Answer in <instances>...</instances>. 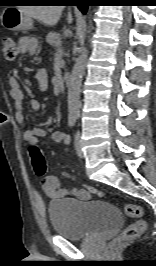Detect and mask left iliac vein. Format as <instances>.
Masks as SVG:
<instances>
[{"instance_id":"4c4485c4","label":"left iliac vein","mask_w":156,"mask_h":266,"mask_svg":"<svg viewBox=\"0 0 156 266\" xmlns=\"http://www.w3.org/2000/svg\"><path fill=\"white\" fill-rule=\"evenodd\" d=\"M75 150L79 157H84L83 151L81 149V135L79 131H77L75 134Z\"/></svg>"}]
</instances>
